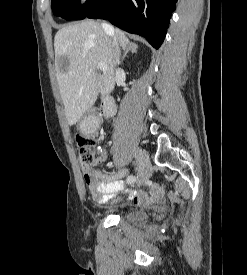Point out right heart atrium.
<instances>
[{
	"label": "right heart atrium",
	"instance_id": "1",
	"mask_svg": "<svg viewBox=\"0 0 247 275\" xmlns=\"http://www.w3.org/2000/svg\"><path fill=\"white\" fill-rule=\"evenodd\" d=\"M88 0H80V4H85Z\"/></svg>",
	"mask_w": 247,
	"mask_h": 275
}]
</instances>
